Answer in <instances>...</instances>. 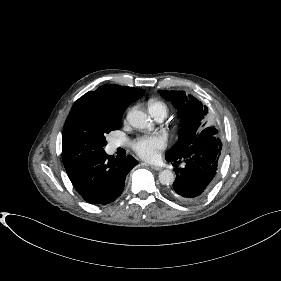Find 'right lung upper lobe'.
<instances>
[{
	"instance_id": "obj_1",
	"label": "right lung upper lobe",
	"mask_w": 281,
	"mask_h": 281,
	"mask_svg": "<svg viewBox=\"0 0 281 281\" xmlns=\"http://www.w3.org/2000/svg\"><path fill=\"white\" fill-rule=\"evenodd\" d=\"M145 90L116 84L100 86L96 91L84 94L83 98H91L114 112L123 113L134 101L141 98ZM68 171V170H66Z\"/></svg>"
}]
</instances>
